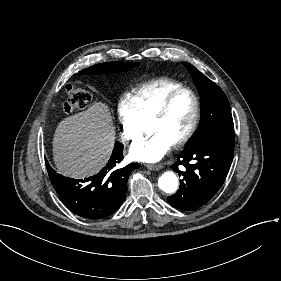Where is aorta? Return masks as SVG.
Masks as SVG:
<instances>
[{
	"instance_id": "762f6f07",
	"label": "aorta",
	"mask_w": 281,
	"mask_h": 281,
	"mask_svg": "<svg viewBox=\"0 0 281 281\" xmlns=\"http://www.w3.org/2000/svg\"><path fill=\"white\" fill-rule=\"evenodd\" d=\"M158 186L165 193H174L178 188L177 176L171 171L163 173L159 177Z\"/></svg>"
}]
</instances>
